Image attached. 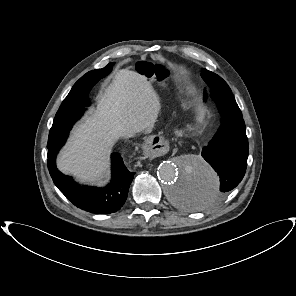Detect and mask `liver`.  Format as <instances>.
<instances>
[{"label":"liver","instance_id":"1","mask_svg":"<svg viewBox=\"0 0 296 296\" xmlns=\"http://www.w3.org/2000/svg\"><path fill=\"white\" fill-rule=\"evenodd\" d=\"M161 109L158 94L147 78L119 70L100 96L97 108L77 125L58 158V168L81 181L100 180L108 166V154L119 133L151 129Z\"/></svg>","mask_w":296,"mask_h":296}]
</instances>
